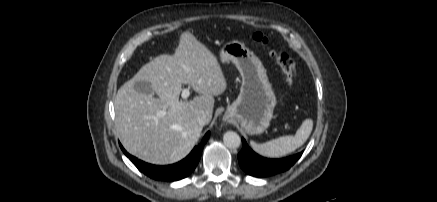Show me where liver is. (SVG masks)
<instances>
[{"label": "liver", "mask_w": 437, "mask_h": 202, "mask_svg": "<svg viewBox=\"0 0 437 202\" xmlns=\"http://www.w3.org/2000/svg\"><path fill=\"white\" fill-rule=\"evenodd\" d=\"M137 81L149 82L158 97L138 93ZM182 84L200 96L180 101ZM226 87L216 56L192 32H183L173 56H157L119 88L114 99L115 127L124 148L152 164L180 161L202 132L198 115L205 113L210 122L214 96Z\"/></svg>", "instance_id": "obj_1"}]
</instances>
